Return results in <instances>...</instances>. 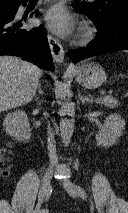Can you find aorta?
<instances>
[{
	"label": "aorta",
	"mask_w": 128,
	"mask_h": 213,
	"mask_svg": "<svg viewBox=\"0 0 128 213\" xmlns=\"http://www.w3.org/2000/svg\"><path fill=\"white\" fill-rule=\"evenodd\" d=\"M64 101L61 104L59 115L60 120V134L62 142L67 146L73 135L74 130V115H75V105L70 100L66 99V93L63 94Z\"/></svg>",
	"instance_id": "aorta-1"
}]
</instances>
